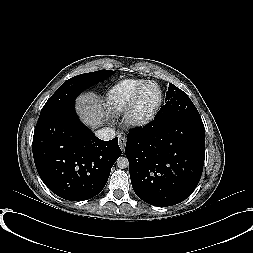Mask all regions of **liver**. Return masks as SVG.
Returning <instances> with one entry per match:
<instances>
[{"mask_svg":"<svg viewBox=\"0 0 253 253\" xmlns=\"http://www.w3.org/2000/svg\"><path fill=\"white\" fill-rule=\"evenodd\" d=\"M76 110L83 123L92 129L102 125L111 114V108L106 109L103 100L92 92L84 93L77 98Z\"/></svg>","mask_w":253,"mask_h":253,"instance_id":"1","label":"liver"}]
</instances>
